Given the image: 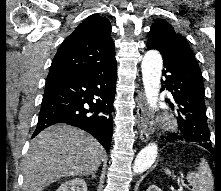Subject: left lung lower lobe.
Masks as SVG:
<instances>
[{"instance_id":"left-lung-lower-lobe-1","label":"left lung lower lobe","mask_w":221,"mask_h":191,"mask_svg":"<svg viewBox=\"0 0 221 191\" xmlns=\"http://www.w3.org/2000/svg\"><path fill=\"white\" fill-rule=\"evenodd\" d=\"M162 81L177 104L179 131L171 134L167 142H195L206 140L210 132L204 103L202 73L190 47L183 46L180 53L163 57ZM170 103V102H169ZM173 107V104L170 103ZM199 144V143H198ZM162 147V146H161ZM211 150V147L203 146Z\"/></svg>"}]
</instances>
